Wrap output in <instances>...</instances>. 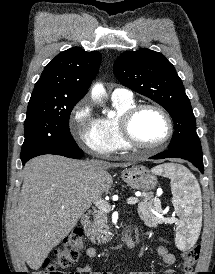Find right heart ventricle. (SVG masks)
I'll list each match as a JSON object with an SVG mask.
<instances>
[{
    "mask_svg": "<svg viewBox=\"0 0 215 274\" xmlns=\"http://www.w3.org/2000/svg\"><path fill=\"white\" fill-rule=\"evenodd\" d=\"M112 104L116 111L113 117H104L98 119V125L100 131L107 139L110 152H118L129 149V147L124 143L120 131H119V118L128 108L135 104L133 98L131 99H115L112 98Z\"/></svg>",
    "mask_w": 215,
    "mask_h": 274,
    "instance_id": "1",
    "label": "right heart ventricle"
}]
</instances>
